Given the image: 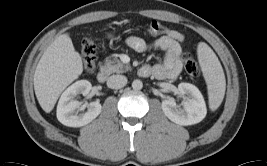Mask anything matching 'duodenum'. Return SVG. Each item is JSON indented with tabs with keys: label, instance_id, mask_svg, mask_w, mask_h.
Returning <instances> with one entry per match:
<instances>
[{
	"label": "duodenum",
	"instance_id": "1",
	"mask_svg": "<svg viewBox=\"0 0 267 166\" xmlns=\"http://www.w3.org/2000/svg\"><path fill=\"white\" fill-rule=\"evenodd\" d=\"M144 73H145V70L141 68V69L139 70V74H140L141 76H143ZM96 78H97V80H98L100 83L105 82L106 79H107V71H106L105 69L101 68V69L97 72Z\"/></svg>",
	"mask_w": 267,
	"mask_h": 166
}]
</instances>
